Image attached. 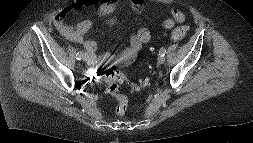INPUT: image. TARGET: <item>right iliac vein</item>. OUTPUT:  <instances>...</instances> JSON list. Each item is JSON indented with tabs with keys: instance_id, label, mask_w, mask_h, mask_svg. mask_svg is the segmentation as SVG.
Segmentation results:
<instances>
[{
	"instance_id": "63e3f726",
	"label": "right iliac vein",
	"mask_w": 253,
	"mask_h": 143,
	"mask_svg": "<svg viewBox=\"0 0 253 143\" xmlns=\"http://www.w3.org/2000/svg\"><path fill=\"white\" fill-rule=\"evenodd\" d=\"M83 60H84L85 62H88V61L90 60V55H89L88 53H84V55H83Z\"/></svg>"
}]
</instances>
